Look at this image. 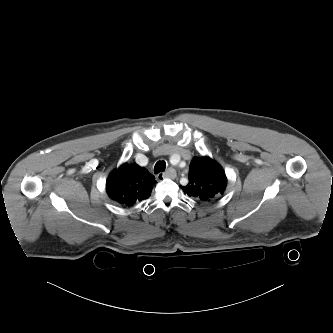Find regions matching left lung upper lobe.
Segmentation results:
<instances>
[{
	"mask_svg": "<svg viewBox=\"0 0 333 333\" xmlns=\"http://www.w3.org/2000/svg\"><path fill=\"white\" fill-rule=\"evenodd\" d=\"M189 183L181 186L189 197L211 201L220 198L226 189L227 178L223 168L209 157H194Z\"/></svg>",
	"mask_w": 333,
	"mask_h": 333,
	"instance_id": "5c2ea615",
	"label": "left lung upper lobe"
}]
</instances>
